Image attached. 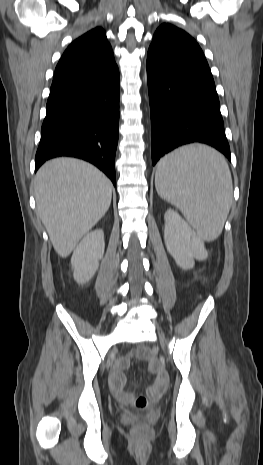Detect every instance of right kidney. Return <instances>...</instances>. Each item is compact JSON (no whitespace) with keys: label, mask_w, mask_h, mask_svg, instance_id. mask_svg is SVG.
Returning a JSON list of instances; mask_svg holds the SVG:
<instances>
[{"label":"right kidney","mask_w":263,"mask_h":465,"mask_svg":"<svg viewBox=\"0 0 263 465\" xmlns=\"http://www.w3.org/2000/svg\"><path fill=\"white\" fill-rule=\"evenodd\" d=\"M104 233L97 229L88 233L75 248L71 257L74 279L79 284H85L96 273L99 261L104 255Z\"/></svg>","instance_id":"right-kidney-1"}]
</instances>
